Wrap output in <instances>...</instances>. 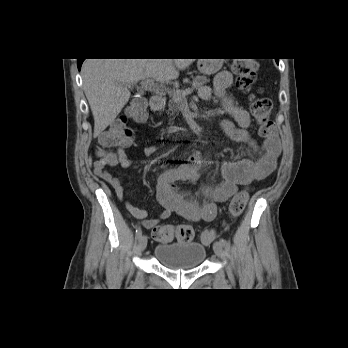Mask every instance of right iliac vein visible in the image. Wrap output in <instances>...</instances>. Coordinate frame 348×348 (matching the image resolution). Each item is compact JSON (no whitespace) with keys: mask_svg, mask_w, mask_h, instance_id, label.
<instances>
[{"mask_svg":"<svg viewBox=\"0 0 348 348\" xmlns=\"http://www.w3.org/2000/svg\"><path fill=\"white\" fill-rule=\"evenodd\" d=\"M138 247L141 252H143L147 247V237L145 235L140 236L138 240Z\"/></svg>","mask_w":348,"mask_h":348,"instance_id":"1","label":"right iliac vein"}]
</instances>
